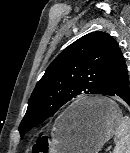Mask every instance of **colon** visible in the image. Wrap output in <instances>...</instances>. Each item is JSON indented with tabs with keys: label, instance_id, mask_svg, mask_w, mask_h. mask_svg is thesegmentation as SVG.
I'll use <instances>...</instances> for the list:
<instances>
[{
	"label": "colon",
	"instance_id": "colon-1",
	"mask_svg": "<svg viewBox=\"0 0 130 153\" xmlns=\"http://www.w3.org/2000/svg\"><path fill=\"white\" fill-rule=\"evenodd\" d=\"M48 150V140L46 137H41L33 146V151L36 153H46Z\"/></svg>",
	"mask_w": 130,
	"mask_h": 153
}]
</instances>
